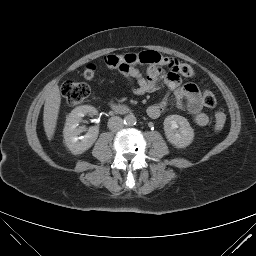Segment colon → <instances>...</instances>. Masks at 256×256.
I'll return each mask as SVG.
<instances>
[{"label": "colon", "mask_w": 256, "mask_h": 256, "mask_svg": "<svg viewBox=\"0 0 256 256\" xmlns=\"http://www.w3.org/2000/svg\"><path fill=\"white\" fill-rule=\"evenodd\" d=\"M163 58L156 51H143L141 53L129 54H110L105 57V64L111 69H119L130 64H153L159 63ZM175 69L181 76L191 77L194 74L193 68L179 61L173 63ZM97 75L96 66L88 64L83 70L82 76L86 80H93ZM61 92L69 105H78L85 101L90 95V88L79 82L67 81L61 87ZM203 104L206 107L214 108L217 105L215 95L210 91H205L202 97ZM215 129L220 131L224 128L226 123V115L222 111L215 113Z\"/></svg>", "instance_id": "obj_1"}]
</instances>
